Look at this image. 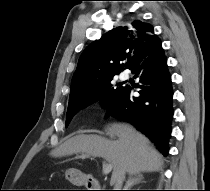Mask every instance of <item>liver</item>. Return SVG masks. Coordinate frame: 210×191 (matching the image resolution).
<instances>
[{
	"label": "liver",
	"mask_w": 210,
	"mask_h": 191,
	"mask_svg": "<svg viewBox=\"0 0 210 191\" xmlns=\"http://www.w3.org/2000/svg\"><path fill=\"white\" fill-rule=\"evenodd\" d=\"M106 134L111 138L92 134H79L52 150V157L70 156L85 153L94 157L105 158L113 165L111 183L124 170L129 174L158 171L163 161L161 155L150 141L140 132L127 124L108 125ZM117 137V140H113Z\"/></svg>",
	"instance_id": "obj_1"
}]
</instances>
